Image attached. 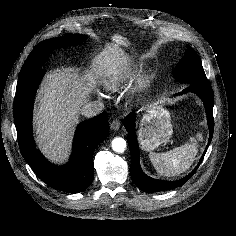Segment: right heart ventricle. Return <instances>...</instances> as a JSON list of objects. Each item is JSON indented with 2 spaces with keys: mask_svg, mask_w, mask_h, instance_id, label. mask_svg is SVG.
<instances>
[{
  "mask_svg": "<svg viewBox=\"0 0 236 236\" xmlns=\"http://www.w3.org/2000/svg\"><path fill=\"white\" fill-rule=\"evenodd\" d=\"M121 85V79L115 77L105 82V88L109 91H117Z\"/></svg>",
  "mask_w": 236,
  "mask_h": 236,
  "instance_id": "obj_1",
  "label": "right heart ventricle"
}]
</instances>
